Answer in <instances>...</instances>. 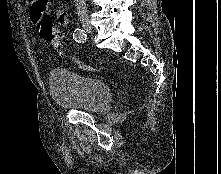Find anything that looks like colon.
<instances>
[{
	"label": "colon",
	"mask_w": 221,
	"mask_h": 174,
	"mask_svg": "<svg viewBox=\"0 0 221 174\" xmlns=\"http://www.w3.org/2000/svg\"><path fill=\"white\" fill-rule=\"evenodd\" d=\"M37 32L41 39L51 42L58 52L65 53V48L61 42V33L55 28L52 18L49 15H45L41 18L37 25ZM73 62L84 71H95L96 68L86 64L84 62L73 59Z\"/></svg>",
	"instance_id": "colon-1"
}]
</instances>
